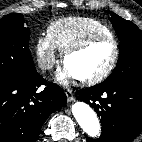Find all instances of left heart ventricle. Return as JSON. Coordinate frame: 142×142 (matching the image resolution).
<instances>
[{
  "label": "left heart ventricle",
  "mask_w": 142,
  "mask_h": 142,
  "mask_svg": "<svg viewBox=\"0 0 142 142\" xmlns=\"http://www.w3.org/2000/svg\"><path fill=\"white\" fill-rule=\"evenodd\" d=\"M113 54V43L109 40H100L70 55L65 61V66L76 78H86L103 71L110 63Z\"/></svg>",
  "instance_id": "left-heart-ventricle-1"
}]
</instances>
